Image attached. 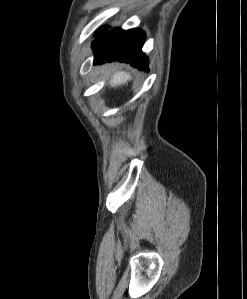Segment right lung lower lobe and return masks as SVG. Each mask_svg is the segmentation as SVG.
Listing matches in <instances>:
<instances>
[{"instance_id":"obj_1","label":"right lung lower lobe","mask_w":247,"mask_h":299,"mask_svg":"<svg viewBox=\"0 0 247 299\" xmlns=\"http://www.w3.org/2000/svg\"><path fill=\"white\" fill-rule=\"evenodd\" d=\"M93 42L96 52L95 63L119 62L130 63L139 70L148 71V58L142 52L145 34L140 29L121 30L114 28L103 30Z\"/></svg>"}]
</instances>
